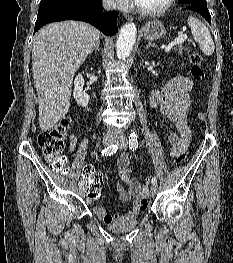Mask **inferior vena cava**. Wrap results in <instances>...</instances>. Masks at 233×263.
<instances>
[{"label":"inferior vena cava","instance_id":"602c4592","mask_svg":"<svg viewBox=\"0 0 233 263\" xmlns=\"http://www.w3.org/2000/svg\"><path fill=\"white\" fill-rule=\"evenodd\" d=\"M103 8L106 11L115 9L116 8V1L115 0H103Z\"/></svg>","mask_w":233,"mask_h":263}]
</instances>
